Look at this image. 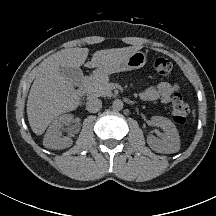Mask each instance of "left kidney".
I'll return each instance as SVG.
<instances>
[{
    "instance_id": "left-kidney-1",
    "label": "left kidney",
    "mask_w": 216,
    "mask_h": 216,
    "mask_svg": "<svg viewBox=\"0 0 216 216\" xmlns=\"http://www.w3.org/2000/svg\"><path fill=\"white\" fill-rule=\"evenodd\" d=\"M152 123L163 129L164 135L162 139H157L154 136L147 137L149 147L159 153H175L180 149V137L174 123L161 116H153Z\"/></svg>"
}]
</instances>
